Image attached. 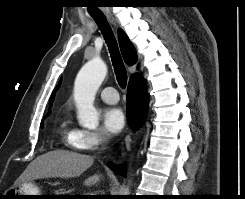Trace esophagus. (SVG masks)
<instances>
[{
    "label": "esophagus",
    "instance_id": "esophagus-1",
    "mask_svg": "<svg viewBox=\"0 0 245 199\" xmlns=\"http://www.w3.org/2000/svg\"><path fill=\"white\" fill-rule=\"evenodd\" d=\"M108 19L111 21V23H114V19L110 14H107Z\"/></svg>",
    "mask_w": 245,
    "mask_h": 199
}]
</instances>
